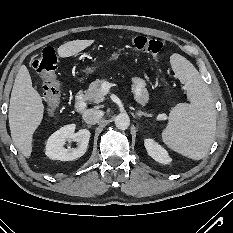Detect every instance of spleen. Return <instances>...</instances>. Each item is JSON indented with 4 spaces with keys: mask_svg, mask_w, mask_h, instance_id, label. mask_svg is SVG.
Masks as SVG:
<instances>
[{
    "mask_svg": "<svg viewBox=\"0 0 233 233\" xmlns=\"http://www.w3.org/2000/svg\"><path fill=\"white\" fill-rule=\"evenodd\" d=\"M171 65L186 86L189 104L180 103L172 109L162 140L175 152L200 160L207 155L215 136L214 99L198 70L186 58L173 54Z\"/></svg>",
    "mask_w": 233,
    "mask_h": 233,
    "instance_id": "3e777b00",
    "label": "spleen"
}]
</instances>
